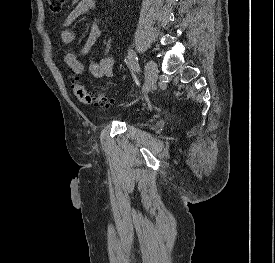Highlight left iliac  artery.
<instances>
[{"mask_svg":"<svg viewBox=\"0 0 275 263\" xmlns=\"http://www.w3.org/2000/svg\"><path fill=\"white\" fill-rule=\"evenodd\" d=\"M127 65L133 71H140L138 57L133 49H129L127 56Z\"/></svg>","mask_w":275,"mask_h":263,"instance_id":"44dca946","label":"left iliac artery"}]
</instances>
